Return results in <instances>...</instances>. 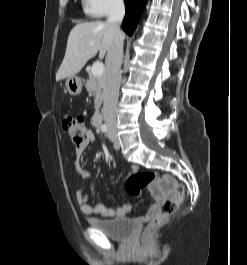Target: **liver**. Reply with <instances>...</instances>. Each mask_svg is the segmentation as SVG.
<instances>
[{
  "label": "liver",
  "instance_id": "obj_1",
  "mask_svg": "<svg viewBox=\"0 0 247 265\" xmlns=\"http://www.w3.org/2000/svg\"><path fill=\"white\" fill-rule=\"evenodd\" d=\"M115 38L116 30L108 22L94 21L75 25L68 36L65 56L56 73V80L79 73L98 51L102 59Z\"/></svg>",
  "mask_w": 247,
  "mask_h": 265
}]
</instances>
